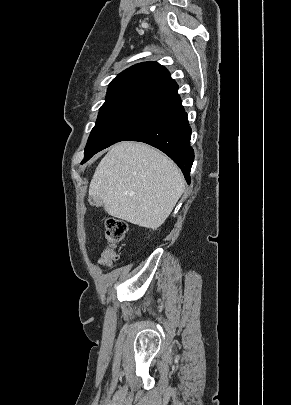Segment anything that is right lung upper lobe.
I'll return each mask as SVG.
<instances>
[{
    "label": "right lung upper lobe",
    "instance_id": "cb5924a9",
    "mask_svg": "<svg viewBox=\"0 0 291 405\" xmlns=\"http://www.w3.org/2000/svg\"><path fill=\"white\" fill-rule=\"evenodd\" d=\"M177 91L178 85L165 67L157 62H143L112 80L104 104L142 99L173 105L180 99Z\"/></svg>",
    "mask_w": 291,
    "mask_h": 405
}]
</instances>
